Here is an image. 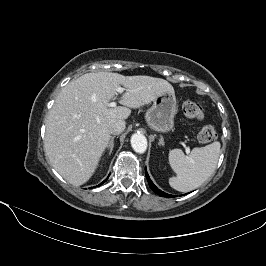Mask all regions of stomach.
Returning <instances> with one entry per match:
<instances>
[{"mask_svg": "<svg viewBox=\"0 0 266 266\" xmlns=\"http://www.w3.org/2000/svg\"><path fill=\"white\" fill-rule=\"evenodd\" d=\"M176 113L175 94L164 93L153 100L152 106L145 115V120L153 130L167 132L173 129Z\"/></svg>", "mask_w": 266, "mask_h": 266, "instance_id": "stomach-1", "label": "stomach"}]
</instances>
